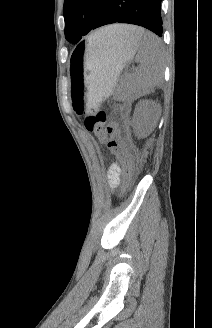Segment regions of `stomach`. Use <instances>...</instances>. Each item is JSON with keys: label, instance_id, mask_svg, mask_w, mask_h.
Instances as JSON below:
<instances>
[{"label": "stomach", "instance_id": "0dacf381", "mask_svg": "<svg viewBox=\"0 0 212 328\" xmlns=\"http://www.w3.org/2000/svg\"><path fill=\"white\" fill-rule=\"evenodd\" d=\"M137 49V39L122 44L90 45L89 41L79 44L70 59L74 108L81 111L85 106L90 110L109 96Z\"/></svg>", "mask_w": 212, "mask_h": 328}]
</instances>
